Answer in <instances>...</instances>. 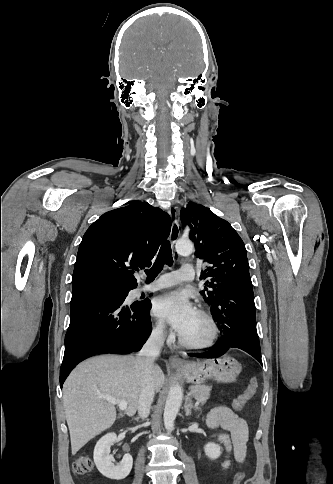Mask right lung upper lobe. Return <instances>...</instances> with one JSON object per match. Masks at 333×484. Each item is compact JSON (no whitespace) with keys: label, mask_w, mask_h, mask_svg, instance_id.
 Here are the masks:
<instances>
[{"label":"right lung upper lobe","mask_w":333,"mask_h":484,"mask_svg":"<svg viewBox=\"0 0 333 484\" xmlns=\"http://www.w3.org/2000/svg\"><path fill=\"white\" fill-rule=\"evenodd\" d=\"M170 228L169 215L147 202L131 203L106 212L83 236L72 290L134 289L137 286L134 273L151 265Z\"/></svg>","instance_id":"cb5924a9"}]
</instances>
